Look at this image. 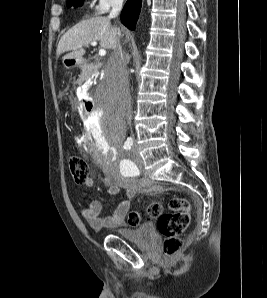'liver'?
<instances>
[{
    "label": "liver",
    "mask_w": 267,
    "mask_h": 298,
    "mask_svg": "<svg viewBox=\"0 0 267 298\" xmlns=\"http://www.w3.org/2000/svg\"><path fill=\"white\" fill-rule=\"evenodd\" d=\"M121 31L112 26L107 17H92L83 20L69 29L60 39L56 54L69 52L63 57L66 59H81L85 49L92 41H99L100 46L105 49H113L119 41Z\"/></svg>",
    "instance_id": "1"
}]
</instances>
